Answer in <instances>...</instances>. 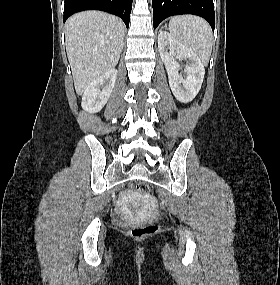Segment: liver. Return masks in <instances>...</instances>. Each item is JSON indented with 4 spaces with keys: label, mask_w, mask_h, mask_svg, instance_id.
<instances>
[{
    "label": "liver",
    "mask_w": 280,
    "mask_h": 285,
    "mask_svg": "<svg viewBox=\"0 0 280 285\" xmlns=\"http://www.w3.org/2000/svg\"><path fill=\"white\" fill-rule=\"evenodd\" d=\"M124 32L119 18L100 11L77 13L66 21V51L78 95L117 65Z\"/></svg>",
    "instance_id": "1"
}]
</instances>
